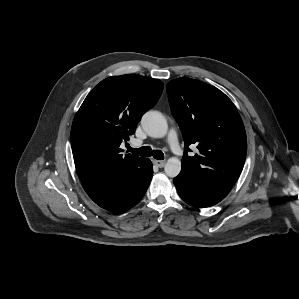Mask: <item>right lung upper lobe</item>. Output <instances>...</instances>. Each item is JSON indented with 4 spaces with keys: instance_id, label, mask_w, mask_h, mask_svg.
Wrapping results in <instances>:
<instances>
[{
    "instance_id": "1",
    "label": "right lung upper lobe",
    "mask_w": 299,
    "mask_h": 299,
    "mask_svg": "<svg viewBox=\"0 0 299 299\" xmlns=\"http://www.w3.org/2000/svg\"><path fill=\"white\" fill-rule=\"evenodd\" d=\"M162 90L160 80L139 75L108 77L94 87L71 128L72 153L81 181H107L143 161L132 154L123 156L120 144L135 133Z\"/></svg>"
}]
</instances>
